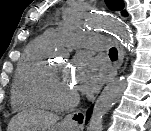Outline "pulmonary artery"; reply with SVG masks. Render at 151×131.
Instances as JSON below:
<instances>
[{
	"mask_svg": "<svg viewBox=\"0 0 151 131\" xmlns=\"http://www.w3.org/2000/svg\"><path fill=\"white\" fill-rule=\"evenodd\" d=\"M44 38L51 44H59L68 47L82 46L100 49L104 45L101 36L85 33L69 27L49 29L44 33Z\"/></svg>",
	"mask_w": 151,
	"mask_h": 131,
	"instance_id": "pulmonary-artery-1",
	"label": "pulmonary artery"
}]
</instances>
